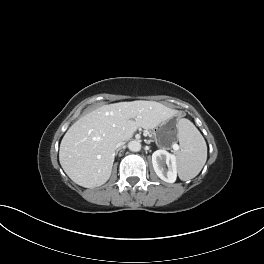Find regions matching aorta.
Instances as JSON below:
<instances>
[{
	"label": "aorta",
	"instance_id": "1",
	"mask_svg": "<svg viewBox=\"0 0 264 264\" xmlns=\"http://www.w3.org/2000/svg\"><path fill=\"white\" fill-rule=\"evenodd\" d=\"M128 148L132 152H138L141 150V143L139 141L133 140L128 143Z\"/></svg>",
	"mask_w": 264,
	"mask_h": 264
}]
</instances>
